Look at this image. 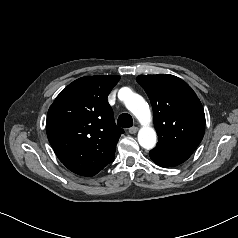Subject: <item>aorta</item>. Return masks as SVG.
Here are the masks:
<instances>
[{
	"label": "aorta",
	"mask_w": 238,
	"mask_h": 238,
	"mask_svg": "<svg viewBox=\"0 0 238 238\" xmlns=\"http://www.w3.org/2000/svg\"><path fill=\"white\" fill-rule=\"evenodd\" d=\"M122 95L126 108L138 119L142 127L138 132V142L141 147L149 150L155 147L157 135L155 130L149 126L151 112L148 103L138 94L123 88L119 92Z\"/></svg>",
	"instance_id": "obj_1"
}]
</instances>
